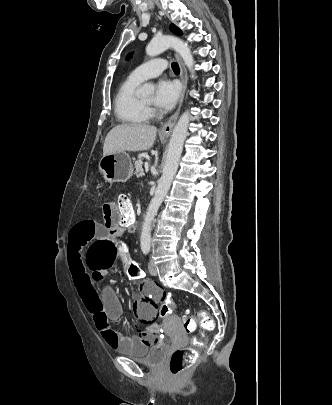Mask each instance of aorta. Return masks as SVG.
Instances as JSON below:
<instances>
[{
    "label": "aorta",
    "mask_w": 332,
    "mask_h": 405,
    "mask_svg": "<svg viewBox=\"0 0 332 405\" xmlns=\"http://www.w3.org/2000/svg\"><path fill=\"white\" fill-rule=\"evenodd\" d=\"M173 48L180 54L185 65L194 77V59L187 43L173 36H155L146 47V53L150 57L157 56L165 50ZM153 87L150 84H144L143 92L151 91ZM190 122V114L185 111L179 118L174 127L167 153V158L163 167L162 176L158 181V185L152 198L147 213L143 222L141 232V246H149L151 243V227L152 221L156 216L160 205L162 204L166 194L168 193L173 178L178 170L179 161L181 158L183 144L187 136L188 125Z\"/></svg>",
    "instance_id": "1"
}]
</instances>
